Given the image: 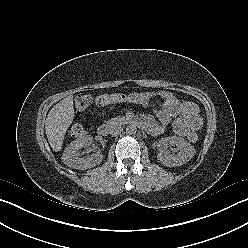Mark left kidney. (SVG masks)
Listing matches in <instances>:
<instances>
[{
	"instance_id": "1",
	"label": "left kidney",
	"mask_w": 248,
	"mask_h": 248,
	"mask_svg": "<svg viewBox=\"0 0 248 248\" xmlns=\"http://www.w3.org/2000/svg\"><path fill=\"white\" fill-rule=\"evenodd\" d=\"M174 145L179 149L177 155L170 154L166 148ZM161 149L157 155L159 162L168 167L181 166L188 162L195 155V148L184 138L178 136H170L160 141Z\"/></svg>"
}]
</instances>
